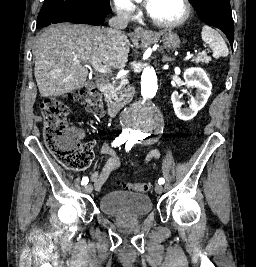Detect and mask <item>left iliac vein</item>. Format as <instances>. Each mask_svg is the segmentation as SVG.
<instances>
[{
    "mask_svg": "<svg viewBox=\"0 0 256 267\" xmlns=\"http://www.w3.org/2000/svg\"><path fill=\"white\" fill-rule=\"evenodd\" d=\"M155 191L158 193V194H161L163 192V186L161 184H156L155 186Z\"/></svg>",
    "mask_w": 256,
    "mask_h": 267,
    "instance_id": "4c4485c4",
    "label": "left iliac vein"
}]
</instances>
